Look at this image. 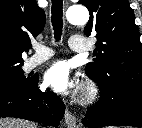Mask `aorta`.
<instances>
[{"label":"aorta","instance_id":"762f6f07","mask_svg":"<svg viewBox=\"0 0 142 128\" xmlns=\"http://www.w3.org/2000/svg\"><path fill=\"white\" fill-rule=\"evenodd\" d=\"M66 18L73 25H84L89 20V12L83 6H74L67 10Z\"/></svg>","mask_w":142,"mask_h":128}]
</instances>
